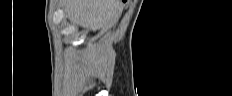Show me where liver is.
Returning <instances> with one entry per match:
<instances>
[{
    "mask_svg": "<svg viewBox=\"0 0 232 96\" xmlns=\"http://www.w3.org/2000/svg\"><path fill=\"white\" fill-rule=\"evenodd\" d=\"M69 20L93 31L112 23L121 13V0H64Z\"/></svg>",
    "mask_w": 232,
    "mask_h": 96,
    "instance_id": "obj_1",
    "label": "liver"
}]
</instances>
